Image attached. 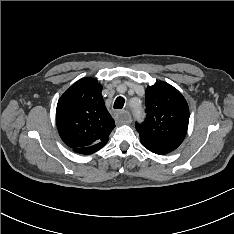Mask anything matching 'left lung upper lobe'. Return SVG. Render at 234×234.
<instances>
[{
	"instance_id": "5c2ea615",
	"label": "left lung upper lobe",
	"mask_w": 234,
	"mask_h": 234,
	"mask_svg": "<svg viewBox=\"0 0 234 234\" xmlns=\"http://www.w3.org/2000/svg\"><path fill=\"white\" fill-rule=\"evenodd\" d=\"M145 101L146 120L136 124L140 138L147 141L166 139L180 145L189 122V107L182 94L160 81L146 88Z\"/></svg>"
}]
</instances>
